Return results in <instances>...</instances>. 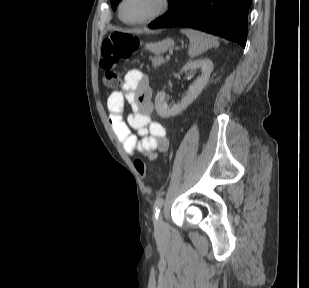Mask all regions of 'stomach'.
Listing matches in <instances>:
<instances>
[{"instance_id":"obj_1","label":"stomach","mask_w":309,"mask_h":288,"mask_svg":"<svg viewBox=\"0 0 309 288\" xmlns=\"http://www.w3.org/2000/svg\"><path fill=\"white\" fill-rule=\"evenodd\" d=\"M173 45H174V41L172 39H165L157 43H148L146 44V48L149 51L159 55L161 53L166 52Z\"/></svg>"}]
</instances>
